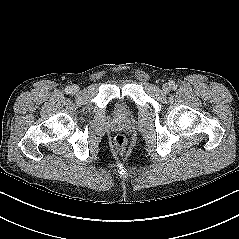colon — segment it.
Returning a JSON list of instances; mask_svg holds the SVG:
<instances>
[{
    "label": "colon",
    "instance_id": "colon-1",
    "mask_svg": "<svg viewBox=\"0 0 239 239\" xmlns=\"http://www.w3.org/2000/svg\"><path fill=\"white\" fill-rule=\"evenodd\" d=\"M114 142L119 150H123L126 147V138L123 135H117Z\"/></svg>",
    "mask_w": 239,
    "mask_h": 239
}]
</instances>
